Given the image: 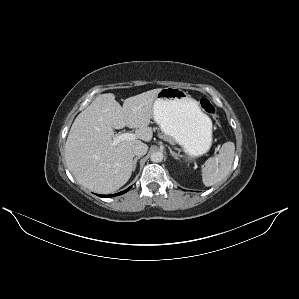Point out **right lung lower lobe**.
<instances>
[{"label": "right lung lower lobe", "mask_w": 299, "mask_h": 299, "mask_svg": "<svg viewBox=\"0 0 299 299\" xmlns=\"http://www.w3.org/2000/svg\"><path fill=\"white\" fill-rule=\"evenodd\" d=\"M130 188L131 187H129L128 189H126V190H124L122 192L116 193V194H112V195H99V196L107 198V197H113V196L121 195V194H124L125 192H127Z\"/></svg>", "instance_id": "98d812e1"}]
</instances>
